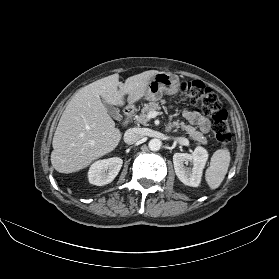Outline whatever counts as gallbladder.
<instances>
[{
	"mask_svg": "<svg viewBox=\"0 0 279 279\" xmlns=\"http://www.w3.org/2000/svg\"><path fill=\"white\" fill-rule=\"evenodd\" d=\"M103 104L105 105L108 113L116 120H120L122 118L121 114L119 113V110L116 109L111 104L107 103L104 99H102Z\"/></svg>",
	"mask_w": 279,
	"mask_h": 279,
	"instance_id": "1",
	"label": "gallbladder"
}]
</instances>
